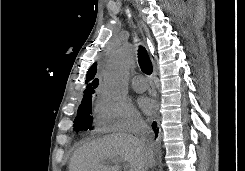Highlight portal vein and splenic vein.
Segmentation results:
<instances>
[{
	"instance_id": "portal-vein-and-splenic-vein-1",
	"label": "portal vein and splenic vein",
	"mask_w": 245,
	"mask_h": 171,
	"mask_svg": "<svg viewBox=\"0 0 245 171\" xmlns=\"http://www.w3.org/2000/svg\"><path fill=\"white\" fill-rule=\"evenodd\" d=\"M112 162L115 163V164H117V163L121 162V160H119V159H114Z\"/></svg>"
}]
</instances>
